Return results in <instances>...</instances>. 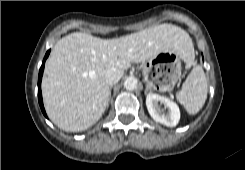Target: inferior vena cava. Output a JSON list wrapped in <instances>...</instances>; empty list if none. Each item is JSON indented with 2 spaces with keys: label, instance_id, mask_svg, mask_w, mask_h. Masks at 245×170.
Wrapping results in <instances>:
<instances>
[{
  "label": "inferior vena cava",
  "instance_id": "obj_1",
  "mask_svg": "<svg viewBox=\"0 0 245 170\" xmlns=\"http://www.w3.org/2000/svg\"><path fill=\"white\" fill-rule=\"evenodd\" d=\"M122 75H123L122 71H119V70H117L115 68H111L105 73L106 83L108 85H113V84L117 83L120 80Z\"/></svg>",
  "mask_w": 245,
  "mask_h": 170
}]
</instances>
